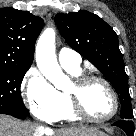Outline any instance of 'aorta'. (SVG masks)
Segmentation results:
<instances>
[{
    "instance_id": "aorta-1",
    "label": "aorta",
    "mask_w": 136,
    "mask_h": 136,
    "mask_svg": "<svg viewBox=\"0 0 136 136\" xmlns=\"http://www.w3.org/2000/svg\"><path fill=\"white\" fill-rule=\"evenodd\" d=\"M36 63L42 75L57 89L63 90L68 78L62 72L55 53V31L47 28L39 37L35 50Z\"/></svg>"
}]
</instances>
